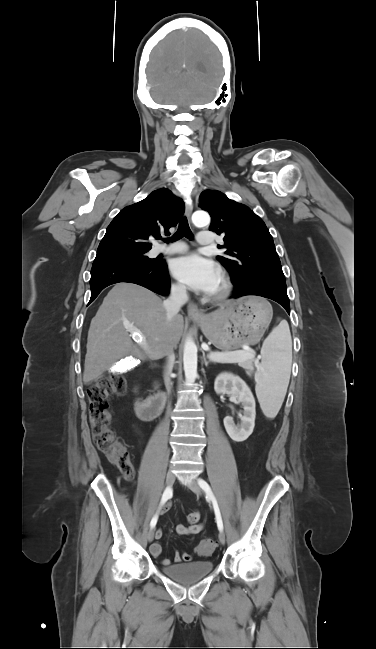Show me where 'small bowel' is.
I'll return each instance as SVG.
<instances>
[{"mask_svg": "<svg viewBox=\"0 0 376 649\" xmlns=\"http://www.w3.org/2000/svg\"><path fill=\"white\" fill-rule=\"evenodd\" d=\"M169 507H170V504H167L166 509H168ZM199 520H200V513L198 511L191 512L187 517L188 524L187 525H184V524L178 525L176 527V532L179 535H190V536L199 534L203 530V524L200 523ZM162 535H163L162 531L160 529L157 530L155 532L156 541L153 542L151 544V546H150V551H151L152 555L154 557H156V558H158L161 555V552H162V546H161V543L159 542V539L162 538ZM192 558H193V556H192L191 553H188V552L181 553L179 551H176L175 555H174V562H176V563L188 562V561H191ZM161 563H162V565L166 566V565L171 564V560L168 559V558H164V559L161 560Z\"/></svg>", "mask_w": 376, "mask_h": 649, "instance_id": "1", "label": "small bowel"}]
</instances>
